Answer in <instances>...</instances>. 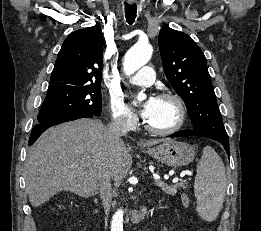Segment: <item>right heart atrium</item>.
<instances>
[{
	"label": "right heart atrium",
	"instance_id": "obj_1",
	"mask_svg": "<svg viewBox=\"0 0 261 231\" xmlns=\"http://www.w3.org/2000/svg\"><path fill=\"white\" fill-rule=\"evenodd\" d=\"M110 114L112 123L124 130L133 128L137 122L136 115L123 99L117 95L111 98Z\"/></svg>",
	"mask_w": 261,
	"mask_h": 231
}]
</instances>
